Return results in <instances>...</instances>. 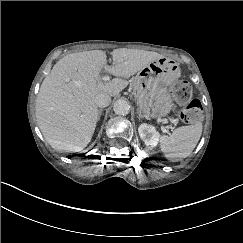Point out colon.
I'll use <instances>...</instances> for the list:
<instances>
[{"instance_id":"obj_1","label":"colon","mask_w":243,"mask_h":243,"mask_svg":"<svg viewBox=\"0 0 243 243\" xmlns=\"http://www.w3.org/2000/svg\"><path fill=\"white\" fill-rule=\"evenodd\" d=\"M174 99L184 105L180 118L184 123H195L202 117V107L197 99H192V87L187 81H180L172 88Z\"/></svg>"}]
</instances>
